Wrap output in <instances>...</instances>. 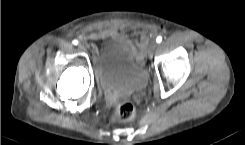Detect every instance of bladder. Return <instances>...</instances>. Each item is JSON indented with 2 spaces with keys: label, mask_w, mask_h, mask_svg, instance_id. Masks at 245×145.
Wrapping results in <instances>:
<instances>
[{
  "label": "bladder",
  "mask_w": 245,
  "mask_h": 145,
  "mask_svg": "<svg viewBox=\"0 0 245 145\" xmlns=\"http://www.w3.org/2000/svg\"><path fill=\"white\" fill-rule=\"evenodd\" d=\"M94 68L103 91L132 95L146 87L145 68L130 38L108 36L96 53Z\"/></svg>",
  "instance_id": "31cf9c89"
}]
</instances>
